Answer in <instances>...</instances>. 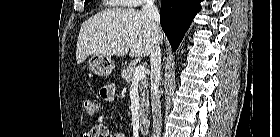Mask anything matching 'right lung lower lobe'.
Instances as JSON below:
<instances>
[{"label":"right lung lower lobe","mask_w":280,"mask_h":137,"mask_svg":"<svg viewBox=\"0 0 280 137\" xmlns=\"http://www.w3.org/2000/svg\"><path fill=\"white\" fill-rule=\"evenodd\" d=\"M202 0H162L160 23L172 49L175 51L191 21L200 11Z\"/></svg>","instance_id":"98d812e1"}]
</instances>
